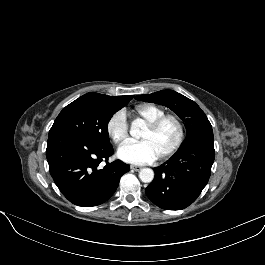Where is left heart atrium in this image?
Here are the masks:
<instances>
[{
    "label": "left heart atrium",
    "mask_w": 265,
    "mask_h": 265,
    "mask_svg": "<svg viewBox=\"0 0 265 265\" xmlns=\"http://www.w3.org/2000/svg\"><path fill=\"white\" fill-rule=\"evenodd\" d=\"M117 155L120 159L134 164L151 163L158 158L148 141L126 142L119 148Z\"/></svg>",
    "instance_id": "left-heart-atrium-1"
}]
</instances>
